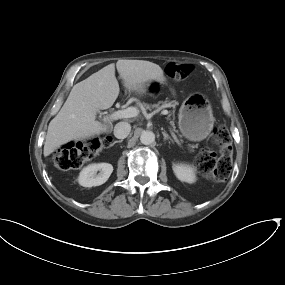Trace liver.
I'll list each match as a JSON object with an SVG mask.
<instances>
[{
	"label": "liver",
	"mask_w": 285,
	"mask_h": 285,
	"mask_svg": "<svg viewBox=\"0 0 285 285\" xmlns=\"http://www.w3.org/2000/svg\"><path fill=\"white\" fill-rule=\"evenodd\" d=\"M116 68L129 91L146 92L151 81L163 83L161 67L144 60H118ZM120 92L115 77V64H109L75 84L58 114L50 121L44 143V156H49L71 141L94 138L107 130L96 121L99 110L110 108Z\"/></svg>",
	"instance_id": "6515ba94"
}]
</instances>
